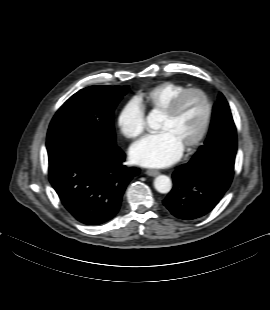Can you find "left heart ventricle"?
<instances>
[{
	"instance_id": "b2bd125f",
	"label": "left heart ventricle",
	"mask_w": 270,
	"mask_h": 310,
	"mask_svg": "<svg viewBox=\"0 0 270 310\" xmlns=\"http://www.w3.org/2000/svg\"><path fill=\"white\" fill-rule=\"evenodd\" d=\"M205 117V105L198 94L187 95L173 119L163 115L158 126L159 132H167L176 143L185 149L200 132Z\"/></svg>"
}]
</instances>
